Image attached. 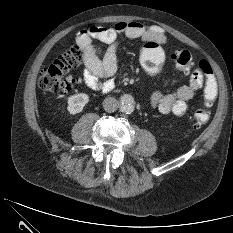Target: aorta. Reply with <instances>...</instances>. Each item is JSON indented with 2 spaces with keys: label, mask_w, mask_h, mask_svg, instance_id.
<instances>
[{
  "label": "aorta",
  "mask_w": 233,
  "mask_h": 233,
  "mask_svg": "<svg viewBox=\"0 0 233 233\" xmlns=\"http://www.w3.org/2000/svg\"><path fill=\"white\" fill-rule=\"evenodd\" d=\"M135 108L134 97L130 94H124L120 98V109L125 113H132Z\"/></svg>",
  "instance_id": "aorta-1"
}]
</instances>
